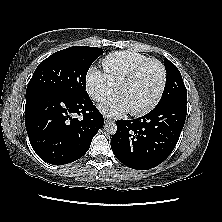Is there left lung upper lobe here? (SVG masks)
I'll list each match as a JSON object with an SVG mask.
<instances>
[{"label": "left lung upper lobe", "mask_w": 222, "mask_h": 222, "mask_svg": "<svg viewBox=\"0 0 222 222\" xmlns=\"http://www.w3.org/2000/svg\"><path fill=\"white\" fill-rule=\"evenodd\" d=\"M164 65L167 77L165 88L159 103L171 98L187 99V90L178 68L168 59H165Z\"/></svg>", "instance_id": "5c2ea615"}]
</instances>
